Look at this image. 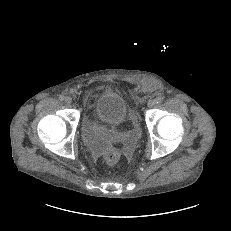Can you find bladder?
<instances>
[{
  "instance_id": "obj_1",
  "label": "bladder",
  "mask_w": 231,
  "mask_h": 231,
  "mask_svg": "<svg viewBox=\"0 0 231 231\" xmlns=\"http://www.w3.org/2000/svg\"><path fill=\"white\" fill-rule=\"evenodd\" d=\"M96 118L106 124L118 126L128 114V104L124 96L115 91H105L94 103Z\"/></svg>"
}]
</instances>
